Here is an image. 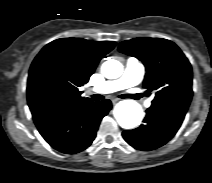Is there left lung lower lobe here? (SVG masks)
Listing matches in <instances>:
<instances>
[{"label":"left lung lower lobe","mask_w":212,"mask_h":183,"mask_svg":"<svg viewBox=\"0 0 212 183\" xmlns=\"http://www.w3.org/2000/svg\"><path fill=\"white\" fill-rule=\"evenodd\" d=\"M187 110L152 104L146 110L144 124L122 133L132 147L149 151L166 144L178 131Z\"/></svg>","instance_id":"obj_1"}]
</instances>
